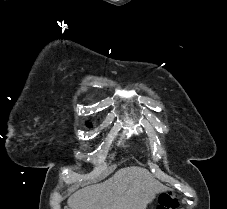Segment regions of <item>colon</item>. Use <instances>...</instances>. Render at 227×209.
I'll use <instances>...</instances> for the list:
<instances>
[{"label":"colon","mask_w":227,"mask_h":209,"mask_svg":"<svg viewBox=\"0 0 227 209\" xmlns=\"http://www.w3.org/2000/svg\"><path fill=\"white\" fill-rule=\"evenodd\" d=\"M178 206V196L170 192H165L160 195L157 209H178Z\"/></svg>","instance_id":"colon-1"}]
</instances>
